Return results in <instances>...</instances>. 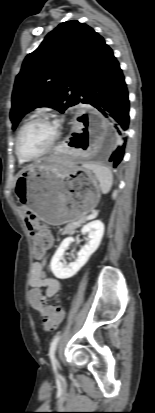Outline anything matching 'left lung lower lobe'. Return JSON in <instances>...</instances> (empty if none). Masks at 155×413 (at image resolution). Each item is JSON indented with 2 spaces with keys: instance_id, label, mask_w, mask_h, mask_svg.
I'll return each instance as SVG.
<instances>
[{
  "instance_id": "obj_1",
  "label": "left lung lower lobe",
  "mask_w": 155,
  "mask_h": 413,
  "mask_svg": "<svg viewBox=\"0 0 155 413\" xmlns=\"http://www.w3.org/2000/svg\"><path fill=\"white\" fill-rule=\"evenodd\" d=\"M81 97L80 102L90 104L103 115L114 118L124 130V143L109 159L116 168L125 153L126 132L129 125V99L122 70L109 46L86 79Z\"/></svg>"
}]
</instances>
